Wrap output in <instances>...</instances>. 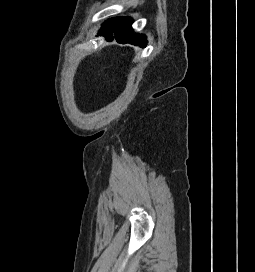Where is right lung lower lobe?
<instances>
[{
    "label": "right lung lower lobe",
    "mask_w": 255,
    "mask_h": 272,
    "mask_svg": "<svg viewBox=\"0 0 255 272\" xmlns=\"http://www.w3.org/2000/svg\"><path fill=\"white\" fill-rule=\"evenodd\" d=\"M133 21L130 17H116L107 20L98 35H102L107 41L113 40V34L118 43H130L136 46L144 47L147 44L146 37L143 34H136L131 27Z\"/></svg>",
    "instance_id": "obj_1"
}]
</instances>
